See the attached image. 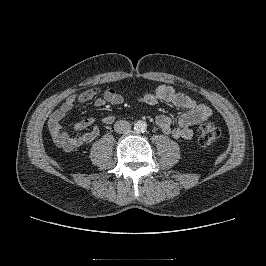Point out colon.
Masks as SVG:
<instances>
[{
  "mask_svg": "<svg viewBox=\"0 0 266 266\" xmlns=\"http://www.w3.org/2000/svg\"><path fill=\"white\" fill-rule=\"evenodd\" d=\"M98 89L90 91L94 94ZM220 137V129L213 123H205L201 126L198 136V143L202 147L213 145Z\"/></svg>",
  "mask_w": 266,
  "mask_h": 266,
  "instance_id": "5ec220e1",
  "label": "colon"
}]
</instances>
